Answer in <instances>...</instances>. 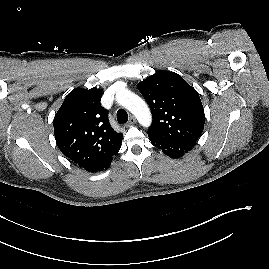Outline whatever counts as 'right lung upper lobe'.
I'll return each mask as SVG.
<instances>
[{"label":"right lung upper lobe","instance_id":"obj_1","mask_svg":"<svg viewBox=\"0 0 269 269\" xmlns=\"http://www.w3.org/2000/svg\"><path fill=\"white\" fill-rule=\"evenodd\" d=\"M101 94L97 88L73 90L53 120L57 146L87 171L115 154L123 138L111 127L108 112L100 104Z\"/></svg>","mask_w":269,"mask_h":269}]
</instances>
